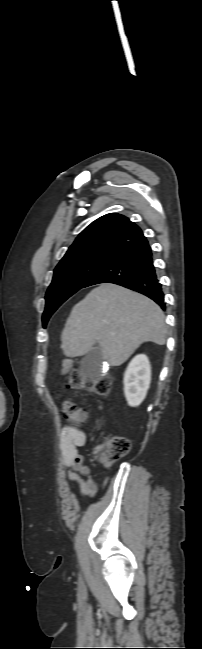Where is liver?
<instances>
[{
    "instance_id": "6515ba94",
    "label": "liver",
    "mask_w": 202,
    "mask_h": 649,
    "mask_svg": "<svg viewBox=\"0 0 202 649\" xmlns=\"http://www.w3.org/2000/svg\"><path fill=\"white\" fill-rule=\"evenodd\" d=\"M167 328L162 309L148 297L115 284H101L77 303L61 333L66 357L85 355L97 341L110 366H119L143 343L164 345ZM71 359L62 362L69 372Z\"/></svg>"
}]
</instances>
